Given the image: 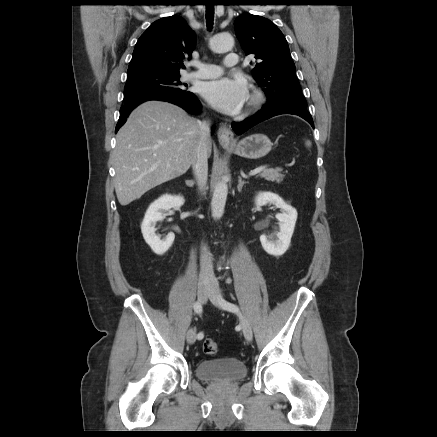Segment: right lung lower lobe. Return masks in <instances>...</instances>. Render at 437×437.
<instances>
[{
  "label": "right lung lower lobe",
  "instance_id": "98d812e1",
  "mask_svg": "<svg viewBox=\"0 0 437 437\" xmlns=\"http://www.w3.org/2000/svg\"><path fill=\"white\" fill-rule=\"evenodd\" d=\"M149 100H160L167 101L178 105L185 109L189 113H197L201 108V103L197 97L193 94H155L145 96L130 102H126L120 109L119 121L116 125L115 133L120 129V127L126 122L127 117L130 112L139 104L149 101Z\"/></svg>",
  "mask_w": 437,
  "mask_h": 437
}]
</instances>
